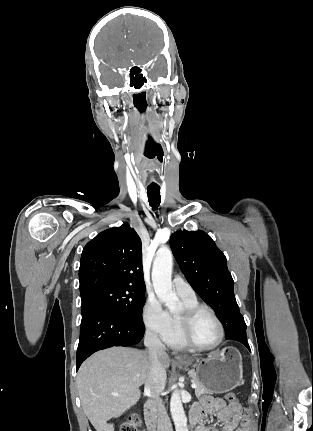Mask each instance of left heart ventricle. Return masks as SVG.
<instances>
[{
    "instance_id": "left-heart-ventricle-1",
    "label": "left heart ventricle",
    "mask_w": 313,
    "mask_h": 431,
    "mask_svg": "<svg viewBox=\"0 0 313 431\" xmlns=\"http://www.w3.org/2000/svg\"><path fill=\"white\" fill-rule=\"evenodd\" d=\"M191 335L193 340L203 346L213 345L219 338V328L208 313H201L195 320Z\"/></svg>"
}]
</instances>
